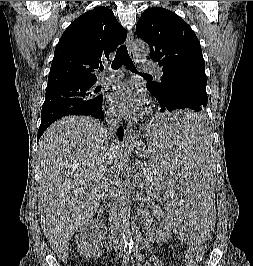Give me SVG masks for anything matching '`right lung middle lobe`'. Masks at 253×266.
<instances>
[{"instance_id": "1", "label": "right lung middle lobe", "mask_w": 253, "mask_h": 266, "mask_svg": "<svg viewBox=\"0 0 253 266\" xmlns=\"http://www.w3.org/2000/svg\"><path fill=\"white\" fill-rule=\"evenodd\" d=\"M93 82L67 83L46 89L40 126L68 115H82L102 105L101 87Z\"/></svg>"}]
</instances>
